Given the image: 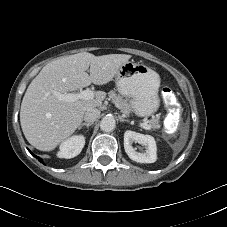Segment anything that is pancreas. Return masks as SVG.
Here are the masks:
<instances>
[{
	"instance_id": "obj_1",
	"label": "pancreas",
	"mask_w": 227,
	"mask_h": 227,
	"mask_svg": "<svg viewBox=\"0 0 227 227\" xmlns=\"http://www.w3.org/2000/svg\"><path fill=\"white\" fill-rule=\"evenodd\" d=\"M109 98L112 100V102L121 110V112L125 115V116H129L132 108L130 106V103L128 102L127 99H124L122 96H120L119 94H117L114 91H110L109 92ZM150 126L153 129L159 128V118H152L150 121Z\"/></svg>"
}]
</instances>
